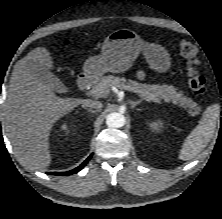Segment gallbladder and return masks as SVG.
Here are the masks:
<instances>
[{"instance_id": "obj_1", "label": "gallbladder", "mask_w": 222, "mask_h": 219, "mask_svg": "<svg viewBox=\"0 0 222 219\" xmlns=\"http://www.w3.org/2000/svg\"><path fill=\"white\" fill-rule=\"evenodd\" d=\"M33 72L38 79L45 85L49 86L51 90L57 93L68 92L66 86L47 67L37 65L35 68H33Z\"/></svg>"}]
</instances>
